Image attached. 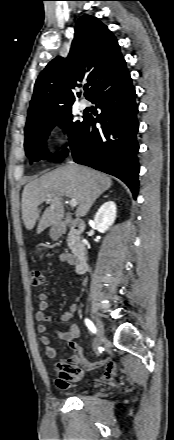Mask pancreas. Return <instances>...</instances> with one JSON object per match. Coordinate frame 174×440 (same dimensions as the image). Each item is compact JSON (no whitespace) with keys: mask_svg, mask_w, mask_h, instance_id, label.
Returning <instances> with one entry per match:
<instances>
[{"mask_svg":"<svg viewBox=\"0 0 174 440\" xmlns=\"http://www.w3.org/2000/svg\"><path fill=\"white\" fill-rule=\"evenodd\" d=\"M67 245L71 248L73 246V238L71 235L67 238Z\"/></svg>","mask_w":174,"mask_h":440,"instance_id":"1","label":"pancreas"}]
</instances>
